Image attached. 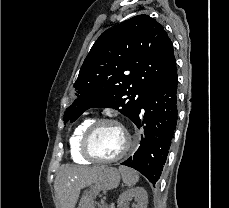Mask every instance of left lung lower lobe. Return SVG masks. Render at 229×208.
Instances as JSON below:
<instances>
[{"instance_id":"obj_1","label":"left lung lower lobe","mask_w":229,"mask_h":208,"mask_svg":"<svg viewBox=\"0 0 229 208\" xmlns=\"http://www.w3.org/2000/svg\"><path fill=\"white\" fill-rule=\"evenodd\" d=\"M177 74L164 86L150 91L132 121L144 133L140 146L123 165L141 172L151 183L160 178L177 122Z\"/></svg>"}]
</instances>
